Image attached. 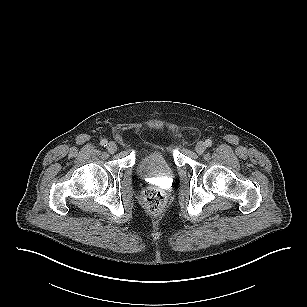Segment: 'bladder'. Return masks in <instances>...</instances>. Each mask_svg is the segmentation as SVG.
Instances as JSON below:
<instances>
[{
  "mask_svg": "<svg viewBox=\"0 0 307 307\" xmlns=\"http://www.w3.org/2000/svg\"><path fill=\"white\" fill-rule=\"evenodd\" d=\"M137 172L142 178L172 180L174 168L162 151L155 150L145 154L137 163Z\"/></svg>",
  "mask_w": 307,
  "mask_h": 307,
  "instance_id": "obj_1",
  "label": "bladder"
}]
</instances>
